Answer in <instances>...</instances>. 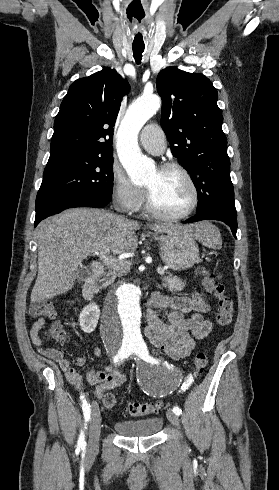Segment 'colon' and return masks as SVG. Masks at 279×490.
Segmentation results:
<instances>
[{
  "label": "colon",
  "mask_w": 279,
  "mask_h": 490,
  "mask_svg": "<svg viewBox=\"0 0 279 490\" xmlns=\"http://www.w3.org/2000/svg\"><path fill=\"white\" fill-rule=\"evenodd\" d=\"M202 286L206 293L213 297L217 303L216 322L221 327L229 326L233 316V302L231 297L225 292V289L213 274L209 271H203L201 274ZM29 314L38 319H44L48 322L49 327L45 330L47 337L53 338H71V329H57L56 321L58 313L50 302H36L29 308ZM208 362L206 354L199 353L194 358V367L196 373L200 374L205 369ZM117 400L113 393L107 392L103 396V405L106 409H113ZM160 409V404L156 401L133 402L127 405L126 415L130 417L153 415Z\"/></svg>",
  "instance_id": "1"
}]
</instances>
